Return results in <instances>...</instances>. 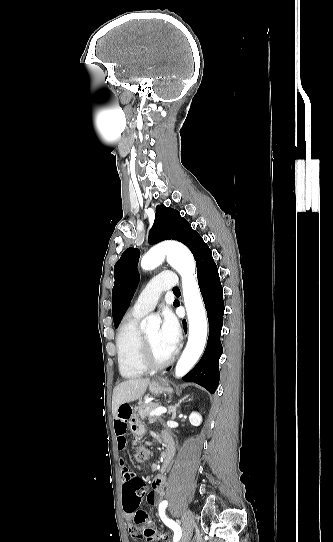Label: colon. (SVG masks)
<instances>
[{
	"label": "colon",
	"mask_w": 333,
	"mask_h": 542,
	"mask_svg": "<svg viewBox=\"0 0 333 542\" xmlns=\"http://www.w3.org/2000/svg\"><path fill=\"white\" fill-rule=\"evenodd\" d=\"M150 455V450L146 447H142L138 450V452L135 455V458L137 461H143L147 459ZM123 475L126 479H129L131 476L129 473L126 475V472L123 471ZM122 493L124 496V503L123 507L125 509V513L128 515H131L134 512L133 516H137L135 518V523L139 526H148L151 524L152 519L150 516H148V511L145 509L139 510V505L141 500L144 496V483L142 479H134L130 481V483H127L126 485H122ZM144 533L150 538L154 540H159L161 538L160 532L156 530V528H148L144 531Z\"/></svg>",
	"instance_id": "1"
}]
</instances>
